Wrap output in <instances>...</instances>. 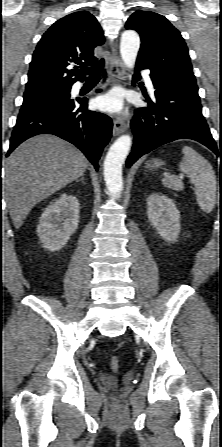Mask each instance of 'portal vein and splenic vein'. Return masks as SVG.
Wrapping results in <instances>:
<instances>
[{
    "label": "portal vein and splenic vein",
    "instance_id": "obj_1",
    "mask_svg": "<svg viewBox=\"0 0 222 447\" xmlns=\"http://www.w3.org/2000/svg\"><path fill=\"white\" fill-rule=\"evenodd\" d=\"M180 178H183V175H180Z\"/></svg>",
    "mask_w": 222,
    "mask_h": 447
}]
</instances>
